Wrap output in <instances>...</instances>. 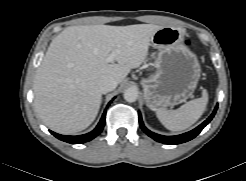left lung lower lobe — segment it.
Returning a JSON list of instances; mask_svg holds the SVG:
<instances>
[{"instance_id": "obj_1", "label": "left lung lower lobe", "mask_w": 246, "mask_h": 181, "mask_svg": "<svg viewBox=\"0 0 246 181\" xmlns=\"http://www.w3.org/2000/svg\"><path fill=\"white\" fill-rule=\"evenodd\" d=\"M216 111H217V107L214 109L210 117L207 120H205L202 124H200L198 127L193 129L192 131L177 136H163L151 132L144 126L140 113H139V123L142 130L154 140L164 144L174 145V144L184 143L195 138L202 131V129L212 120Z\"/></svg>"}]
</instances>
